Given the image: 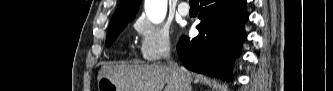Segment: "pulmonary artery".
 I'll list each match as a JSON object with an SVG mask.
<instances>
[{
  "instance_id": "obj_1",
  "label": "pulmonary artery",
  "mask_w": 333,
  "mask_h": 91,
  "mask_svg": "<svg viewBox=\"0 0 333 91\" xmlns=\"http://www.w3.org/2000/svg\"><path fill=\"white\" fill-rule=\"evenodd\" d=\"M178 12L182 16H187L189 14V6L186 2H180L178 5Z\"/></svg>"
}]
</instances>
